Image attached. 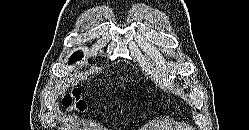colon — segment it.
<instances>
[{
    "label": "colon",
    "mask_w": 249,
    "mask_h": 130,
    "mask_svg": "<svg viewBox=\"0 0 249 130\" xmlns=\"http://www.w3.org/2000/svg\"><path fill=\"white\" fill-rule=\"evenodd\" d=\"M81 92L79 89H74L67 93L62 98V104L67 109H76L80 112L85 110V103L80 98Z\"/></svg>",
    "instance_id": "5ec220e1"
}]
</instances>
